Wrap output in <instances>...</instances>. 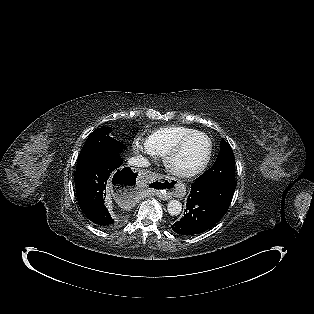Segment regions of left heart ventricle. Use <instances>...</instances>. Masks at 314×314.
Returning a JSON list of instances; mask_svg holds the SVG:
<instances>
[{"mask_svg": "<svg viewBox=\"0 0 314 314\" xmlns=\"http://www.w3.org/2000/svg\"><path fill=\"white\" fill-rule=\"evenodd\" d=\"M208 142L203 136L190 139L182 152L175 158L174 165L182 170H189L199 166L206 158Z\"/></svg>", "mask_w": 314, "mask_h": 314, "instance_id": "b2bd125f", "label": "left heart ventricle"}]
</instances>
